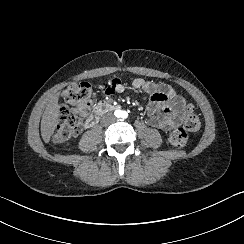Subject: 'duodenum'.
<instances>
[{
    "instance_id": "duodenum-1",
    "label": "duodenum",
    "mask_w": 244,
    "mask_h": 244,
    "mask_svg": "<svg viewBox=\"0 0 244 244\" xmlns=\"http://www.w3.org/2000/svg\"><path fill=\"white\" fill-rule=\"evenodd\" d=\"M119 105L112 102H99L96 105L95 111L90 119V127H93L97 118L102 116L106 111L118 109Z\"/></svg>"
}]
</instances>
